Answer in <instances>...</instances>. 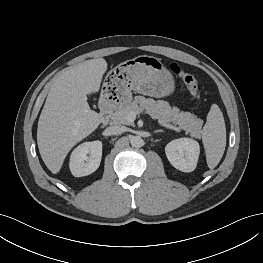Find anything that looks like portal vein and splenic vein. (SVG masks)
Instances as JSON below:
<instances>
[{
	"label": "portal vein and splenic vein",
	"instance_id": "portal-vein-and-splenic-vein-1",
	"mask_svg": "<svg viewBox=\"0 0 263 263\" xmlns=\"http://www.w3.org/2000/svg\"><path fill=\"white\" fill-rule=\"evenodd\" d=\"M136 118V114L135 113H130L127 117V119L131 122H134ZM161 126L167 128V129H171V130H175V131H179L180 128L179 127H176V126H173L171 124H168V123H159Z\"/></svg>",
	"mask_w": 263,
	"mask_h": 263
}]
</instances>
